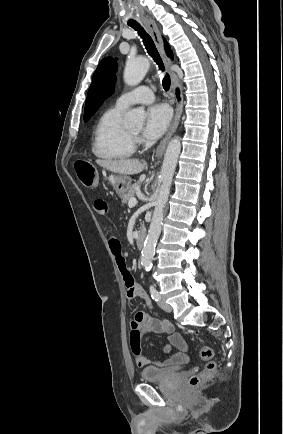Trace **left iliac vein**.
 Segmentation results:
<instances>
[{
	"label": "left iliac vein",
	"instance_id": "1",
	"mask_svg": "<svg viewBox=\"0 0 283 434\" xmlns=\"http://www.w3.org/2000/svg\"><path fill=\"white\" fill-rule=\"evenodd\" d=\"M158 305L160 306L161 309H163L166 312L172 311V307L168 303H166L164 300H159Z\"/></svg>",
	"mask_w": 283,
	"mask_h": 434
}]
</instances>
